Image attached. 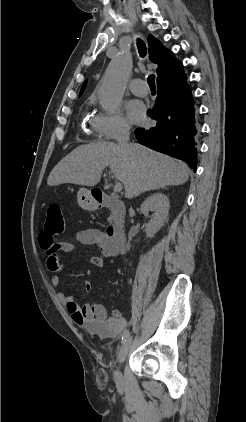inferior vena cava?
I'll use <instances>...</instances> for the list:
<instances>
[{"mask_svg": "<svg viewBox=\"0 0 246 422\" xmlns=\"http://www.w3.org/2000/svg\"><path fill=\"white\" fill-rule=\"evenodd\" d=\"M129 130V127H124L116 137L119 146L124 150L129 149Z\"/></svg>", "mask_w": 246, "mask_h": 422, "instance_id": "inferior-vena-cava-1", "label": "inferior vena cava"}]
</instances>
